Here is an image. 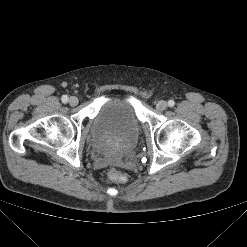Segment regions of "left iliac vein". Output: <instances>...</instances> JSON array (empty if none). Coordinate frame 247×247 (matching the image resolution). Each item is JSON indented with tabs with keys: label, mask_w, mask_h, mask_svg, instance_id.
<instances>
[{
	"label": "left iliac vein",
	"mask_w": 247,
	"mask_h": 247,
	"mask_svg": "<svg viewBox=\"0 0 247 247\" xmlns=\"http://www.w3.org/2000/svg\"><path fill=\"white\" fill-rule=\"evenodd\" d=\"M156 108L160 111H163L167 108V102L164 100H160L156 104Z\"/></svg>",
	"instance_id": "obj_1"
}]
</instances>
